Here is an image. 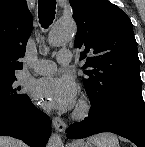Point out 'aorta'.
<instances>
[{"mask_svg":"<svg viewBox=\"0 0 145 147\" xmlns=\"http://www.w3.org/2000/svg\"><path fill=\"white\" fill-rule=\"evenodd\" d=\"M76 31V25L72 20H61L56 23L49 35V43L52 46H61L72 39ZM48 147H64L61 137L53 134L48 142Z\"/></svg>","mask_w":145,"mask_h":147,"instance_id":"762f6f07","label":"aorta"}]
</instances>
